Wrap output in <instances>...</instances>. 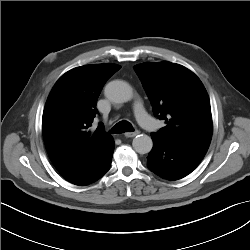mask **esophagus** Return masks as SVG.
<instances>
[{
	"label": "esophagus",
	"instance_id": "esophagus-1",
	"mask_svg": "<svg viewBox=\"0 0 250 250\" xmlns=\"http://www.w3.org/2000/svg\"><path fill=\"white\" fill-rule=\"evenodd\" d=\"M140 133V131H134V132H127V133H125L124 135L126 136V137H128V138H132V137H135V136H137L138 134Z\"/></svg>",
	"mask_w": 250,
	"mask_h": 250
}]
</instances>
